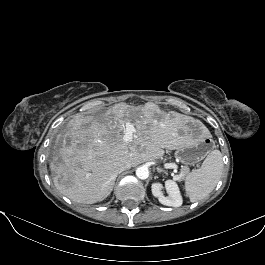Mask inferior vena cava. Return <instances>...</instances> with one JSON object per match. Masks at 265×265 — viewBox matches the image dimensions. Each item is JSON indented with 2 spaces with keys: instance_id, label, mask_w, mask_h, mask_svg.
<instances>
[{
  "instance_id": "1",
  "label": "inferior vena cava",
  "mask_w": 265,
  "mask_h": 265,
  "mask_svg": "<svg viewBox=\"0 0 265 265\" xmlns=\"http://www.w3.org/2000/svg\"><path fill=\"white\" fill-rule=\"evenodd\" d=\"M132 166L130 161H123L117 165V172L121 173L127 169H130Z\"/></svg>"
}]
</instances>
